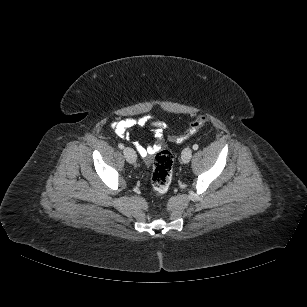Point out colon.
<instances>
[{"label": "colon", "mask_w": 307, "mask_h": 307, "mask_svg": "<svg viewBox=\"0 0 307 307\" xmlns=\"http://www.w3.org/2000/svg\"><path fill=\"white\" fill-rule=\"evenodd\" d=\"M209 123V118L205 115L197 117L190 123L186 131L180 136L174 137V141L182 142L193 134H195L200 128ZM173 154L167 150L162 149L155 155L153 170H152V187L158 194L166 193L171 185L173 176Z\"/></svg>", "instance_id": "colon-1"}]
</instances>
